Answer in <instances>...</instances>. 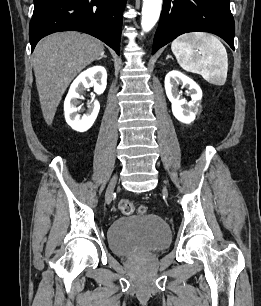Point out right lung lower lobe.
I'll return each instance as SVG.
<instances>
[{"label":"right lung lower lobe","instance_id":"1","mask_svg":"<svg viewBox=\"0 0 261 306\" xmlns=\"http://www.w3.org/2000/svg\"><path fill=\"white\" fill-rule=\"evenodd\" d=\"M126 0H34L29 26L31 49L54 32L90 34L120 55L122 13Z\"/></svg>","mask_w":261,"mask_h":306}]
</instances>
